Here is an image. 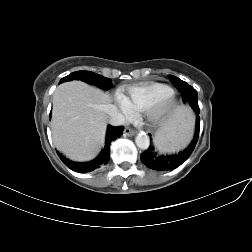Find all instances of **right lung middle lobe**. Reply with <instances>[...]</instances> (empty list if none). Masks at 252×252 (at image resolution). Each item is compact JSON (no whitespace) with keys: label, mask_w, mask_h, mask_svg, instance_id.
I'll list each match as a JSON object with an SVG mask.
<instances>
[{"label":"right lung middle lobe","mask_w":252,"mask_h":252,"mask_svg":"<svg viewBox=\"0 0 252 252\" xmlns=\"http://www.w3.org/2000/svg\"><path fill=\"white\" fill-rule=\"evenodd\" d=\"M72 80H81L88 84L100 87L104 90H109L112 86L111 80L102 75L96 74L90 71H76L68 76L63 77L59 83L72 81Z\"/></svg>","instance_id":"1"}]
</instances>
